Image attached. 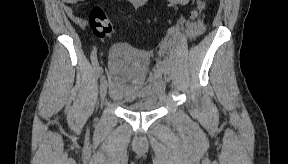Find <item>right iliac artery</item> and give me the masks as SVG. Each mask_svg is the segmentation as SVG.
Instances as JSON below:
<instances>
[{"label":"right iliac artery","instance_id":"1","mask_svg":"<svg viewBox=\"0 0 288 164\" xmlns=\"http://www.w3.org/2000/svg\"><path fill=\"white\" fill-rule=\"evenodd\" d=\"M91 62H92V65L94 67V70L96 72L97 78L101 79V77H102V69L99 66V63H98V60H97V49L96 48H94L92 50V52H91Z\"/></svg>","mask_w":288,"mask_h":164}]
</instances>
